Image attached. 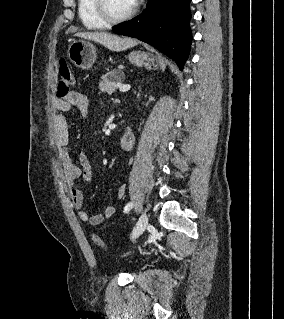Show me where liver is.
<instances>
[{"label": "liver", "mask_w": 284, "mask_h": 319, "mask_svg": "<svg viewBox=\"0 0 284 319\" xmlns=\"http://www.w3.org/2000/svg\"><path fill=\"white\" fill-rule=\"evenodd\" d=\"M75 36L95 41L109 50L117 52L134 47L138 43L136 39L121 38L107 32H78Z\"/></svg>", "instance_id": "obj_1"}]
</instances>
